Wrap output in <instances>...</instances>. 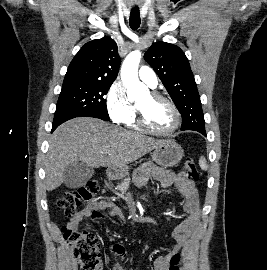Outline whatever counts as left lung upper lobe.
<instances>
[{
  "label": "left lung upper lobe",
  "mask_w": 267,
  "mask_h": 270,
  "mask_svg": "<svg viewBox=\"0 0 267 270\" xmlns=\"http://www.w3.org/2000/svg\"><path fill=\"white\" fill-rule=\"evenodd\" d=\"M182 115L181 130L205 131L204 115L189 61L176 45L153 43L144 55Z\"/></svg>",
  "instance_id": "obj_1"
}]
</instances>
